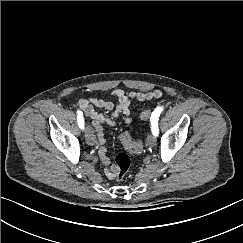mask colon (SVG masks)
Wrapping results in <instances>:
<instances>
[{"label":"colon","mask_w":243,"mask_h":243,"mask_svg":"<svg viewBox=\"0 0 243 243\" xmlns=\"http://www.w3.org/2000/svg\"><path fill=\"white\" fill-rule=\"evenodd\" d=\"M151 114H152V110L150 109L144 110L140 114V118L142 120H148ZM121 141L125 146V148L131 153L137 154L140 153L143 149V144L141 142H135L134 140H132V138L128 133H123L121 135ZM130 163L131 161L127 154L120 153L116 156L115 162L113 164L115 180L122 181L125 178L129 170Z\"/></svg>","instance_id":"5ec220e1"}]
</instances>
